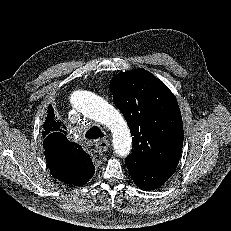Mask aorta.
<instances>
[{
	"label": "aorta",
	"mask_w": 231,
	"mask_h": 231,
	"mask_svg": "<svg viewBox=\"0 0 231 231\" xmlns=\"http://www.w3.org/2000/svg\"><path fill=\"white\" fill-rule=\"evenodd\" d=\"M70 103L84 116L102 124L112 133L115 152L126 157L132 148L129 127L111 104L102 97L87 90H76L70 96Z\"/></svg>",
	"instance_id": "1"
}]
</instances>
